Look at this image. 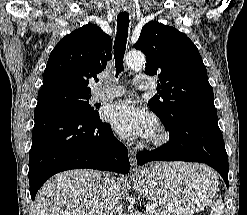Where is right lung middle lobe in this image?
I'll list each match as a JSON object with an SVG mask.
<instances>
[{
	"label": "right lung middle lobe",
	"mask_w": 247,
	"mask_h": 215,
	"mask_svg": "<svg viewBox=\"0 0 247 215\" xmlns=\"http://www.w3.org/2000/svg\"><path fill=\"white\" fill-rule=\"evenodd\" d=\"M90 97L91 95L65 88H48L38 92V99H48L84 116H97V112L89 104Z\"/></svg>",
	"instance_id": "right-lung-middle-lobe-1"
}]
</instances>
